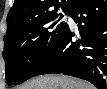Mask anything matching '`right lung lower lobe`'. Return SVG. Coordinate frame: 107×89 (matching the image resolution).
I'll use <instances>...</instances> for the list:
<instances>
[{
  "instance_id": "1",
  "label": "right lung lower lobe",
  "mask_w": 107,
  "mask_h": 89,
  "mask_svg": "<svg viewBox=\"0 0 107 89\" xmlns=\"http://www.w3.org/2000/svg\"><path fill=\"white\" fill-rule=\"evenodd\" d=\"M78 23V40L68 28L34 76L55 73L87 80L98 89L107 87V0H77L69 10Z\"/></svg>"
}]
</instances>
